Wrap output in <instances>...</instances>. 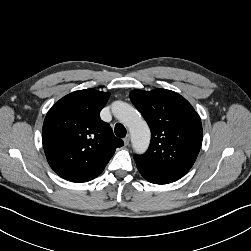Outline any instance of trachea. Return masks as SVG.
<instances>
[{"instance_id":"obj_1","label":"trachea","mask_w":251,"mask_h":251,"mask_svg":"<svg viewBox=\"0 0 251 251\" xmlns=\"http://www.w3.org/2000/svg\"><path fill=\"white\" fill-rule=\"evenodd\" d=\"M114 131L117 137L124 138L126 136V128L120 123L115 125Z\"/></svg>"}]
</instances>
